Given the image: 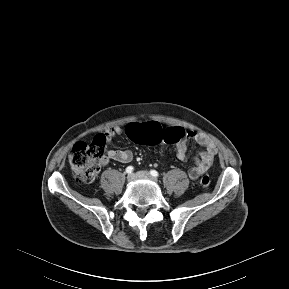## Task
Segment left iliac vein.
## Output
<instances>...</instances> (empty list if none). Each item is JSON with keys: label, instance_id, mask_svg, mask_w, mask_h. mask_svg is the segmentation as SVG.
<instances>
[{"label": "left iliac vein", "instance_id": "left-iliac-vein-1", "mask_svg": "<svg viewBox=\"0 0 289 289\" xmlns=\"http://www.w3.org/2000/svg\"><path fill=\"white\" fill-rule=\"evenodd\" d=\"M136 176L138 178H145V179H150L152 180L153 182H157L156 178H154L149 172L147 171H138L136 173Z\"/></svg>", "mask_w": 289, "mask_h": 289}]
</instances>
